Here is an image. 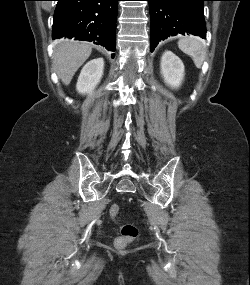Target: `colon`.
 Returning a JSON list of instances; mask_svg holds the SVG:
<instances>
[{"instance_id": "1", "label": "colon", "mask_w": 250, "mask_h": 285, "mask_svg": "<svg viewBox=\"0 0 250 285\" xmlns=\"http://www.w3.org/2000/svg\"><path fill=\"white\" fill-rule=\"evenodd\" d=\"M119 206L113 204L110 207L109 213L113 219H116L119 214ZM138 228L134 224H124L120 228V235L115 240V245L122 249L134 241L138 236Z\"/></svg>"}]
</instances>
